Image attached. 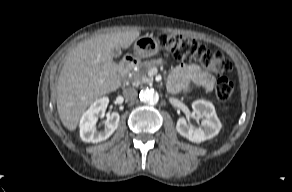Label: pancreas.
I'll list each match as a JSON object with an SVG mask.
<instances>
[{
	"label": "pancreas",
	"instance_id": "obj_1",
	"mask_svg": "<svg viewBox=\"0 0 292 192\" xmlns=\"http://www.w3.org/2000/svg\"><path fill=\"white\" fill-rule=\"evenodd\" d=\"M161 64H162L161 59L140 62L137 65V70L132 72L131 81L134 84H141V83L151 84L153 82V76L148 75V72L152 68L157 67Z\"/></svg>",
	"mask_w": 292,
	"mask_h": 192
}]
</instances>
